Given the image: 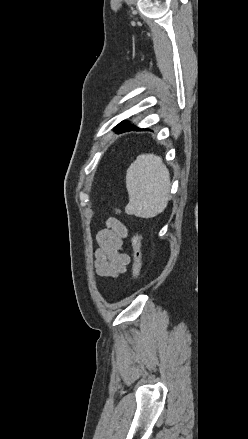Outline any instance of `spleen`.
<instances>
[{"mask_svg":"<svg viewBox=\"0 0 248 439\" xmlns=\"http://www.w3.org/2000/svg\"><path fill=\"white\" fill-rule=\"evenodd\" d=\"M170 186V174L162 158L152 153L139 155L126 174V211L143 218L157 216L168 204Z\"/></svg>","mask_w":248,"mask_h":439,"instance_id":"obj_1","label":"spleen"}]
</instances>
